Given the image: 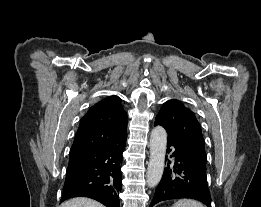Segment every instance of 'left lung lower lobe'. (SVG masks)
<instances>
[{
  "instance_id": "obj_1",
  "label": "left lung lower lobe",
  "mask_w": 261,
  "mask_h": 207,
  "mask_svg": "<svg viewBox=\"0 0 261 207\" xmlns=\"http://www.w3.org/2000/svg\"><path fill=\"white\" fill-rule=\"evenodd\" d=\"M171 147L175 149L174 162L171 165V161H168L149 207L160 201L179 198L195 199L211 207L206 165L197 162L172 142L167 141V152L171 151Z\"/></svg>"
}]
</instances>
